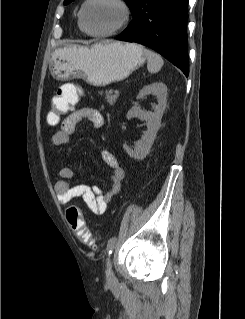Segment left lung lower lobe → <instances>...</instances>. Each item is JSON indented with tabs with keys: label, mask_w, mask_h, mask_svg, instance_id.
<instances>
[{
	"label": "left lung lower lobe",
	"mask_w": 245,
	"mask_h": 319,
	"mask_svg": "<svg viewBox=\"0 0 245 319\" xmlns=\"http://www.w3.org/2000/svg\"><path fill=\"white\" fill-rule=\"evenodd\" d=\"M188 0H139L133 20L115 39L148 46L189 74Z\"/></svg>",
	"instance_id": "1"
}]
</instances>
